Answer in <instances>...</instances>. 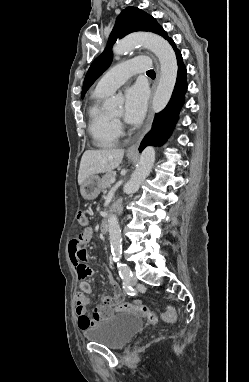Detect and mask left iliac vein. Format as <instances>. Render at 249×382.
Instances as JSON below:
<instances>
[{
    "instance_id": "left-iliac-vein-1",
    "label": "left iliac vein",
    "mask_w": 249,
    "mask_h": 382,
    "mask_svg": "<svg viewBox=\"0 0 249 382\" xmlns=\"http://www.w3.org/2000/svg\"><path fill=\"white\" fill-rule=\"evenodd\" d=\"M137 283V278L133 275L130 279V284L135 285Z\"/></svg>"
}]
</instances>
